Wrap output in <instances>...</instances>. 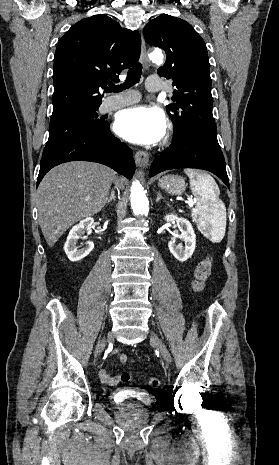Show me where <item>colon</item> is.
Returning <instances> with one entry per match:
<instances>
[{
    "mask_svg": "<svg viewBox=\"0 0 279 465\" xmlns=\"http://www.w3.org/2000/svg\"><path fill=\"white\" fill-rule=\"evenodd\" d=\"M212 268V257L207 255L198 265L195 271V280L193 287L196 291L200 292L204 288V283L209 277ZM131 379L129 372H124L121 375L123 382H128ZM161 384L160 380L156 377H151L147 380V385L151 388H157Z\"/></svg>",
    "mask_w": 279,
    "mask_h": 465,
    "instance_id": "1",
    "label": "colon"
}]
</instances>
